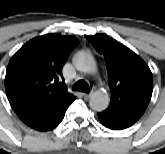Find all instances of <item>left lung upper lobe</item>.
Masks as SVG:
<instances>
[{
	"instance_id": "5c2ea615",
	"label": "left lung upper lobe",
	"mask_w": 165,
	"mask_h": 154,
	"mask_svg": "<svg viewBox=\"0 0 165 154\" xmlns=\"http://www.w3.org/2000/svg\"><path fill=\"white\" fill-rule=\"evenodd\" d=\"M85 37L105 57L112 96L110 106L104 112L136 122L152 96L153 77L149 67L132 50L105 34Z\"/></svg>"
}]
</instances>
